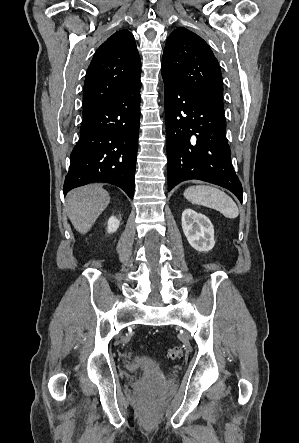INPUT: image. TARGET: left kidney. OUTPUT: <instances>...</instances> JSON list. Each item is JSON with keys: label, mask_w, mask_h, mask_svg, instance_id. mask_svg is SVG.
Returning a JSON list of instances; mask_svg holds the SVG:
<instances>
[{"label": "left kidney", "mask_w": 299, "mask_h": 443, "mask_svg": "<svg viewBox=\"0 0 299 443\" xmlns=\"http://www.w3.org/2000/svg\"><path fill=\"white\" fill-rule=\"evenodd\" d=\"M182 229L189 244L199 252H208L215 245L214 228L205 215L192 209L182 213Z\"/></svg>", "instance_id": "1"}]
</instances>
